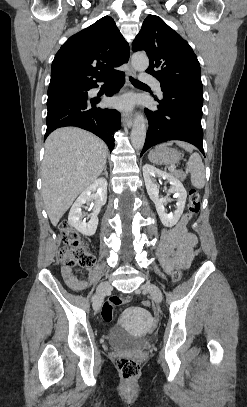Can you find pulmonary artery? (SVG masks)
Returning <instances> with one entry per match:
<instances>
[{"instance_id":"obj_1","label":"pulmonary artery","mask_w":247,"mask_h":407,"mask_svg":"<svg viewBox=\"0 0 247 407\" xmlns=\"http://www.w3.org/2000/svg\"><path fill=\"white\" fill-rule=\"evenodd\" d=\"M140 79L143 83H147V84H151L155 90L161 94V88H160V83L159 81L152 75L150 74H146V73H142L140 75Z\"/></svg>"}]
</instances>
